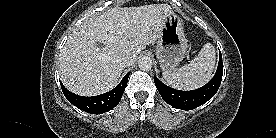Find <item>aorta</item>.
<instances>
[{"label":"aorta","instance_id":"aorta-1","mask_svg":"<svg viewBox=\"0 0 276 138\" xmlns=\"http://www.w3.org/2000/svg\"><path fill=\"white\" fill-rule=\"evenodd\" d=\"M138 65L141 70L148 71L153 67V61L150 57L144 56L139 59Z\"/></svg>","mask_w":276,"mask_h":138}]
</instances>
